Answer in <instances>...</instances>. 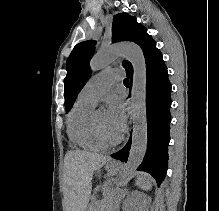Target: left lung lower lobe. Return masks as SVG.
Instances as JSON below:
<instances>
[{"label": "left lung lower lobe", "instance_id": "obj_1", "mask_svg": "<svg viewBox=\"0 0 219 211\" xmlns=\"http://www.w3.org/2000/svg\"><path fill=\"white\" fill-rule=\"evenodd\" d=\"M133 71L127 73L132 81ZM171 84L168 71L159 50L146 59V115L148 145L144 160L138 170L150 173L158 184L164 180L168 166L169 129L171 122ZM131 137L125 147L111 155L127 161Z\"/></svg>", "mask_w": 219, "mask_h": 211}]
</instances>
